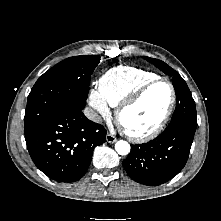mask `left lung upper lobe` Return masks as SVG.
<instances>
[{
	"instance_id": "obj_1",
	"label": "left lung upper lobe",
	"mask_w": 221,
	"mask_h": 221,
	"mask_svg": "<svg viewBox=\"0 0 221 221\" xmlns=\"http://www.w3.org/2000/svg\"><path fill=\"white\" fill-rule=\"evenodd\" d=\"M147 61L154 64L165 74L172 76V83L176 92V108L172 116L171 122L167 127H175L179 125L197 128V115L195 101L192 98L190 90L177 71L172 69L161 60L144 57ZM180 104V107L177 105Z\"/></svg>"
}]
</instances>
